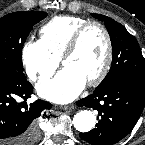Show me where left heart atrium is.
I'll return each mask as SVG.
<instances>
[{"label": "left heart atrium", "instance_id": "obj_1", "mask_svg": "<svg viewBox=\"0 0 145 145\" xmlns=\"http://www.w3.org/2000/svg\"><path fill=\"white\" fill-rule=\"evenodd\" d=\"M86 85L85 79L71 67H64L54 78L41 81L38 93L56 103H67L76 98Z\"/></svg>", "mask_w": 145, "mask_h": 145}]
</instances>
